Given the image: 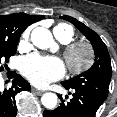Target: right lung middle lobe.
<instances>
[{
  "label": "right lung middle lobe",
  "instance_id": "dd1d6c3e",
  "mask_svg": "<svg viewBox=\"0 0 117 117\" xmlns=\"http://www.w3.org/2000/svg\"><path fill=\"white\" fill-rule=\"evenodd\" d=\"M20 34H0V63L1 61L8 62L9 57L15 55L16 46ZM4 70L3 66H0V72Z\"/></svg>",
  "mask_w": 117,
  "mask_h": 117
}]
</instances>
